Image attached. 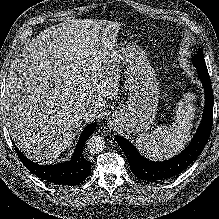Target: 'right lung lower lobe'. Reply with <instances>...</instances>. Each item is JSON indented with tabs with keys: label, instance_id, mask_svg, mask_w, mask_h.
Instances as JSON below:
<instances>
[{
	"label": "right lung lower lobe",
	"instance_id": "right-lung-lower-lobe-1",
	"mask_svg": "<svg viewBox=\"0 0 219 219\" xmlns=\"http://www.w3.org/2000/svg\"><path fill=\"white\" fill-rule=\"evenodd\" d=\"M96 126V123H91L84 128L71 160L58 165H38L25 157L17 147L15 149L23 165L37 177L56 184L77 185L88 177L91 170V162L84 158L82 152Z\"/></svg>",
	"mask_w": 219,
	"mask_h": 219
}]
</instances>
